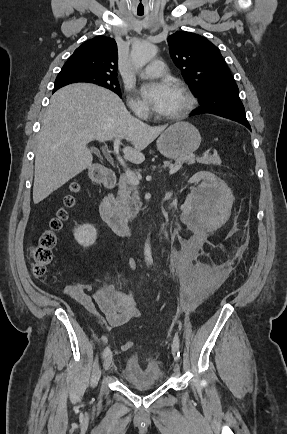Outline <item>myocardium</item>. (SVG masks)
<instances>
[{
  "label": "myocardium",
  "instance_id": "f54148a6",
  "mask_svg": "<svg viewBox=\"0 0 287 434\" xmlns=\"http://www.w3.org/2000/svg\"><path fill=\"white\" fill-rule=\"evenodd\" d=\"M176 88L180 91L185 99V105L178 113L170 115H162L161 117L165 120L178 121L184 119L187 115L191 113L195 106V97L190 91V89L182 83H176Z\"/></svg>",
  "mask_w": 287,
  "mask_h": 434
}]
</instances>
